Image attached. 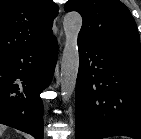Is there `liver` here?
<instances>
[{"label": "liver", "instance_id": "obj_1", "mask_svg": "<svg viewBox=\"0 0 141 139\" xmlns=\"http://www.w3.org/2000/svg\"><path fill=\"white\" fill-rule=\"evenodd\" d=\"M6 130V126L0 124V136L2 135V133Z\"/></svg>", "mask_w": 141, "mask_h": 139}]
</instances>
